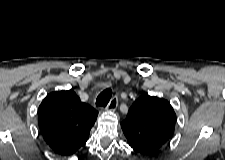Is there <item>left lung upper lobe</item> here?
<instances>
[{
    "mask_svg": "<svg viewBox=\"0 0 225 160\" xmlns=\"http://www.w3.org/2000/svg\"><path fill=\"white\" fill-rule=\"evenodd\" d=\"M175 122L176 114L167 100L144 93L129 109L121 128L135 152L151 155L170 140Z\"/></svg>",
    "mask_w": 225,
    "mask_h": 160,
    "instance_id": "1",
    "label": "left lung upper lobe"
}]
</instances>
